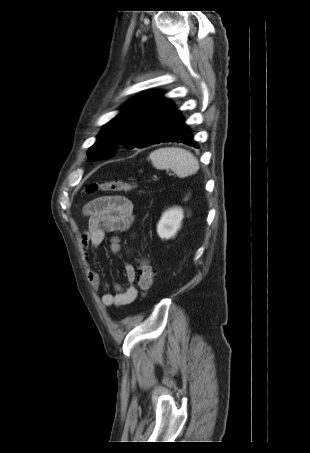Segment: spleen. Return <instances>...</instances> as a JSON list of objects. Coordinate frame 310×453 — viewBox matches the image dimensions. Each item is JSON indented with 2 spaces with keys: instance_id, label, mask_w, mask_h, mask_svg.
I'll use <instances>...</instances> for the list:
<instances>
[{
  "instance_id": "spleen-1",
  "label": "spleen",
  "mask_w": 310,
  "mask_h": 453,
  "mask_svg": "<svg viewBox=\"0 0 310 453\" xmlns=\"http://www.w3.org/2000/svg\"><path fill=\"white\" fill-rule=\"evenodd\" d=\"M149 159L156 169H170L180 178L195 174L199 169L196 157L183 148H159L149 154Z\"/></svg>"
}]
</instances>
